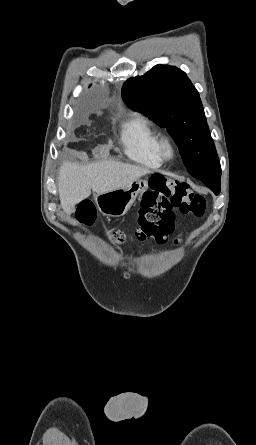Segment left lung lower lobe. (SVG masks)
<instances>
[{"instance_id": "0a47b994", "label": "left lung lower lobe", "mask_w": 256, "mask_h": 445, "mask_svg": "<svg viewBox=\"0 0 256 445\" xmlns=\"http://www.w3.org/2000/svg\"><path fill=\"white\" fill-rule=\"evenodd\" d=\"M193 177L201 180L208 186L216 195L220 193V177L221 175L211 174H191Z\"/></svg>"}]
</instances>
